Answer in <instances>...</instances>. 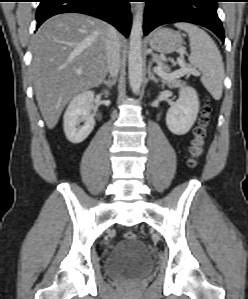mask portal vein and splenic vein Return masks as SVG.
Returning <instances> with one entry per match:
<instances>
[{"instance_id":"1","label":"portal vein and splenic vein","mask_w":248,"mask_h":299,"mask_svg":"<svg viewBox=\"0 0 248 299\" xmlns=\"http://www.w3.org/2000/svg\"><path fill=\"white\" fill-rule=\"evenodd\" d=\"M154 71L160 75L163 78H180L186 74L195 73L196 70L193 68L186 67L183 63L181 65V68L177 71H174L172 73H166L161 67H155Z\"/></svg>"}]
</instances>
